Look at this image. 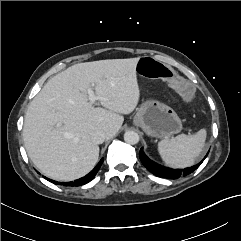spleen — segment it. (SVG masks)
Instances as JSON below:
<instances>
[{
	"label": "spleen",
	"instance_id": "spleen-1",
	"mask_svg": "<svg viewBox=\"0 0 241 241\" xmlns=\"http://www.w3.org/2000/svg\"><path fill=\"white\" fill-rule=\"evenodd\" d=\"M207 132L200 129L193 135L180 134L158 143V151L163 161L172 168H186L195 163L202 152Z\"/></svg>",
	"mask_w": 241,
	"mask_h": 241
}]
</instances>
